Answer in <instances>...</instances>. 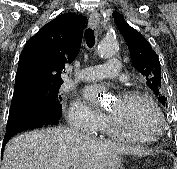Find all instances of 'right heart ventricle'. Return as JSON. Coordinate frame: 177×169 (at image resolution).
Here are the masks:
<instances>
[{
	"label": "right heart ventricle",
	"instance_id": "obj_1",
	"mask_svg": "<svg viewBox=\"0 0 177 169\" xmlns=\"http://www.w3.org/2000/svg\"><path fill=\"white\" fill-rule=\"evenodd\" d=\"M103 134H105L106 136L113 138V139H124V137L114 129V127L112 126L111 123H108L104 127ZM140 142L150 143L152 141H140Z\"/></svg>",
	"mask_w": 177,
	"mask_h": 169
}]
</instances>
